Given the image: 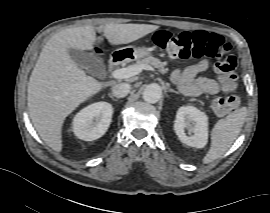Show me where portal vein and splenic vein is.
<instances>
[{
    "label": "portal vein and splenic vein",
    "mask_w": 270,
    "mask_h": 213,
    "mask_svg": "<svg viewBox=\"0 0 270 213\" xmlns=\"http://www.w3.org/2000/svg\"><path fill=\"white\" fill-rule=\"evenodd\" d=\"M142 70L154 71V68L146 64L133 65L127 68L114 70L111 75L115 79H126L141 73Z\"/></svg>",
    "instance_id": "18ae733b"
}]
</instances>
